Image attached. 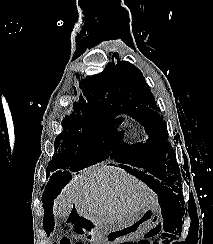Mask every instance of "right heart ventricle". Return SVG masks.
Here are the masks:
<instances>
[{
  "instance_id": "right-heart-ventricle-1",
  "label": "right heart ventricle",
  "mask_w": 213,
  "mask_h": 244,
  "mask_svg": "<svg viewBox=\"0 0 213 244\" xmlns=\"http://www.w3.org/2000/svg\"><path fill=\"white\" fill-rule=\"evenodd\" d=\"M115 129L127 143L139 140L143 132L141 126L128 114H121L118 117Z\"/></svg>"
}]
</instances>
